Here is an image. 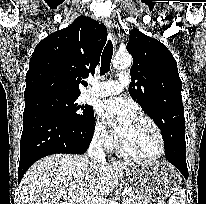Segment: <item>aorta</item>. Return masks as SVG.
<instances>
[{
  "label": "aorta",
  "instance_id": "762f6f07",
  "mask_svg": "<svg viewBox=\"0 0 206 204\" xmlns=\"http://www.w3.org/2000/svg\"><path fill=\"white\" fill-rule=\"evenodd\" d=\"M131 63L132 58L128 53H117L112 60V65L115 69L129 68Z\"/></svg>",
  "mask_w": 206,
  "mask_h": 204
}]
</instances>
